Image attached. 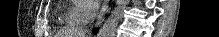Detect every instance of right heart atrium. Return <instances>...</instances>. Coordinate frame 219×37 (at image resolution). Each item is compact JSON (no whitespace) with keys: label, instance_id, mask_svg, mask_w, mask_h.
<instances>
[{"label":"right heart atrium","instance_id":"1","mask_svg":"<svg viewBox=\"0 0 219 37\" xmlns=\"http://www.w3.org/2000/svg\"><path fill=\"white\" fill-rule=\"evenodd\" d=\"M97 8L98 5L93 0H75L68 17L75 23L83 24L96 15Z\"/></svg>","mask_w":219,"mask_h":37}]
</instances>
